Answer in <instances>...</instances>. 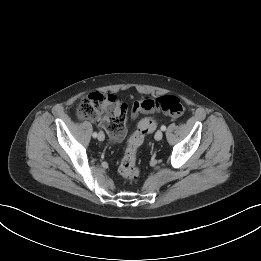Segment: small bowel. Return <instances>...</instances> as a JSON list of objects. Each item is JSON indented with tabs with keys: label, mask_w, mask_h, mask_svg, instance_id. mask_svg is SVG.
I'll use <instances>...</instances> for the list:
<instances>
[{
	"label": "small bowel",
	"mask_w": 261,
	"mask_h": 261,
	"mask_svg": "<svg viewBox=\"0 0 261 261\" xmlns=\"http://www.w3.org/2000/svg\"><path fill=\"white\" fill-rule=\"evenodd\" d=\"M148 100H151V99L150 98H145V99L139 100V101L134 103V105L132 107V110H131V118L132 119H136L140 113H150V112H153V111L148 110L145 107H143V104L146 101H148Z\"/></svg>",
	"instance_id": "1"
}]
</instances>
